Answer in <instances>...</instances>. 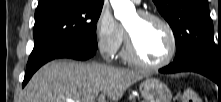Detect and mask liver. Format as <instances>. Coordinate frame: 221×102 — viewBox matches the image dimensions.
Returning a JSON list of instances; mask_svg holds the SVG:
<instances>
[{
	"mask_svg": "<svg viewBox=\"0 0 221 102\" xmlns=\"http://www.w3.org/2000/svg\"><path fill=\"white\" fill-rule=\"evenodd\" d=\"M147 77L137 70L98 63L55 60L40 68L24 89L23 102H117L134 83ZM70 100V101H68Z\"/></svg>",
	"mask_w": 221,
	"mask_h": 102,
	"instance_id": "6515ba94",
	"label": "liver"
}]
</instances>
